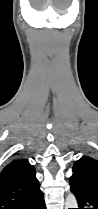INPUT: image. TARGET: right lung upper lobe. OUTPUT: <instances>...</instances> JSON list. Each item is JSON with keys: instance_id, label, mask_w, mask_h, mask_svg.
<instances>
[{"instance_id": "cb5924a9", "label": "right lung upper lobe", "mask_w": 98, "mask_h": 209, "mask_svg": "<svg viewBox=\"0 0 98 209\" xmlns=\"http://www.w3.org/2000/svg\"><path fill=\"white\" fill-rule=\"evenodd\" d=\"M36 171L28 160L17 158L0 172V209H14L40 190Z\"/></svg>"}]
</instances>
